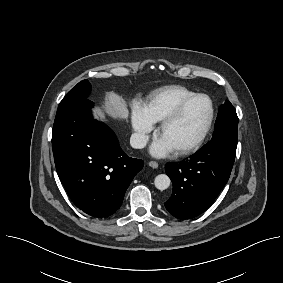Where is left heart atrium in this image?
I'll use <instances>...</instances> for the list:
<instances>
[{"label":"left heart atrium","instance_id":"1","mask_svg":"<svg viewBox=\"0 0 283 283\" xmlns=\"http://www.w3.org/2000/svg\"><path fill=\"white\" fill-rule=\"evenodd\" d=\"M173 151V147L162 138L156 140L151 146V153L156 157H165Z\"/></svg>","mask_w":283,"mask_h":283}]
</instances>
